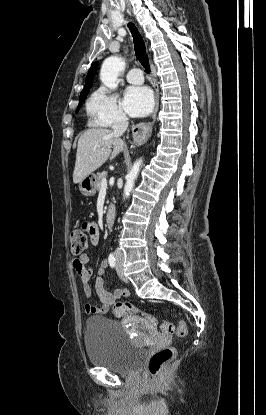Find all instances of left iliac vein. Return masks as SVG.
Returning a JSON list of instances; mask_svg holds the SVG:
<instances>
[{"label":"left iliac vein","instance_id":"obj_1","mask_svg":"<svg viewBox=\"0 0 266 415\" xmlns=\"http://www.w3.org/2000/svg\"><path fill=\"white\" fill-rule=\"evenodd\" d=\"M116 271H117L118 276H119V277H120L123 281H125V282H127V281H128V279H127V277L125 276L124 271H123L122 260H121V258H119V257L117 258Z\"/></svg>","mask_w":266,"mask_h":415}]
</instances>
